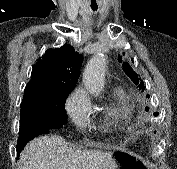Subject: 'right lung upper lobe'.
Listing matches in <instances>:
<instances>
[{
	"instance_id": "cb5924a9",
	"label": "right lung upper lobe",
	"mask_w": 177,
	"mask_h": 169,
	"mask_svg": "<svg viewBox=\"0 0 177 169\" xmlns=\"http://www.w3.org/2000/svg\"><path fill=\"white\" fill-rule=\"evenodd\" d=\"M82 56L65 44L46 51L43 61L32 70L23 101L52 102L68 96L79 79Z\"/></svg>"
}]
</instances>
